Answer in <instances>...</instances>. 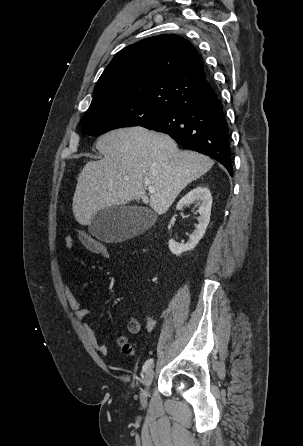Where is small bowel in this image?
<instances>
[{
    "instance_id": "c3829d8e",
    "label": "small bowel",
    "mask_w": 303,
    "mask_h": 446,
    "mask_svg": "<svg viewBox=\"0 0 303 446\" xmlns=\"http://www.w3.org/2000/svg\"><path fill=\"white\" fill-rule=\"evenodd\" d=\"M78 239L86 250L96 255L97 239L93 238L91 235L81 230L77 233ZM74 244V238L71 235L65 237V246L71 249ZM64 291L68 304L73 311L77 319L82 320L84 317L91 314L92 309L89 307H84L75 297V295L70 290L69 286L64 283ZM156 327V320L151 315H148L145 320V328L147 331H153ZM127 329L131 334H137L142 329V324L136 317L129 318L127 322ZM87 335L89 337L92 346L101 354L106 355L108 353V346L104 343L98 341L96 334L91 326L86 328Z\"/></svg>"
}]
</instances>
